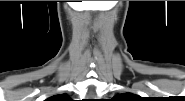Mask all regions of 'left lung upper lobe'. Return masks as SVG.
I'll return each instance as SVG.
<instances>
[{"mask_svg":"<svg viewBox=\"0 0 185 101\" xmlns=\"http://www.w3.org/2000/svg\"><path fill=\"white\" fill-rule=\"evenodd\" d=\"M134 95L131 93H124V94H118L115 96V98H118V101H127L128 99H133Z\"/></svg>","mask_w":185,"mask_h":101,"instance_id":"obj_1","label":"left lung upper lobe"}]
</instances>
